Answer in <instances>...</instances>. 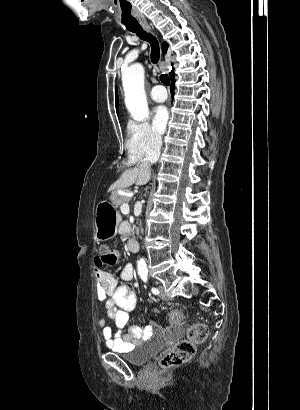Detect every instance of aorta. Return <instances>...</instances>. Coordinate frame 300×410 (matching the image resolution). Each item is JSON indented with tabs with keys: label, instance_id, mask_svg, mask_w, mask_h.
Instances as JSON below:
<instances>
[{
	"label": "aorta",
	"instance_id": "aorta-1",
	"mask_svg": "<svg viewBox=\"0 0 300 410\" xmlns=\"http://www.w3.org/2000/svg\"><path fill=\"white\" fill-rule=\"evenodd\" d=\"M122 84L125 93V104L132 118L143 121L149 115L146 94L144 89V68L135 63L122 73ZM138 271H146L147 264L144 258L137 261Z\"/></svg>",
	"mask_w": 300,
	"mask_h": 410
}]
</instances>
